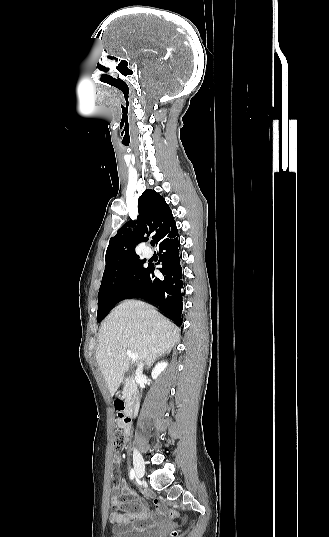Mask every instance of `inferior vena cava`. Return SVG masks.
Instances as JSON below:
<instances>
[{"mask_svg":"<svg viewBox=\"0 0 329 537\" xmlns=\"http://www.w3.org/2000/svg\"><path fill=\"white\" fill-rule=\"evenodd\" d=\"M142 370H143V363H140L137 367V370H136V381L138 382V380L142 377ZM138 409H139V404L136 405L135 407V414H137L138 412Z\"/></svg>","mask_w":329,"mask_h":537,"instance_id":"602c4592","label":"inferior vena cava"}]
</instances>
